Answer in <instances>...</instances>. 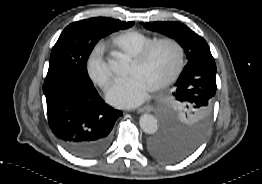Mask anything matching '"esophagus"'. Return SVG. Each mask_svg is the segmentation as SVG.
<instances>
[{
	"mask_svg": "<svg viewBox=\"0 0 262 184\" xmlns=\"http://www.w3.org/2000/svg\"><path fill=\"white\" fill-rule=\"evenodd\" d=\"M154 107L152 105H145L143 107H140L137 109L138 113H144V112H151L153 111Z\"/></svg>",
	"mask_w": 262,
	"mask_h": 184,
	"instance_id": "1",
	"label": "esophagus"
}]
</instances>
